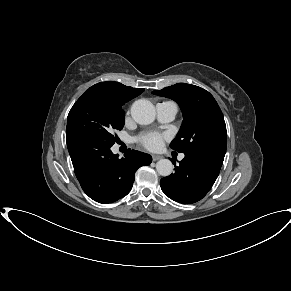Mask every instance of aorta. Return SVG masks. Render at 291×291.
<instances>
[{
  "instance_id": "1",
  "label": "aorta",
  "mask_w": 291,
  "mask_h": 291,
  "mask_svg": "<svg viewBox=\"0 0 291 291\" xmlns=\"http://www.w3.org/2000/svg\"><path fill=\"white\" fill-rule=\"evenodd\" d=\"M132 118L141 125L151 124L155 120V107L146 99L136 100L131 106ZM156 170L161 176H169L173 171V164L169 159H160L156 163Z\"/></svg>"
}]
</instances>
